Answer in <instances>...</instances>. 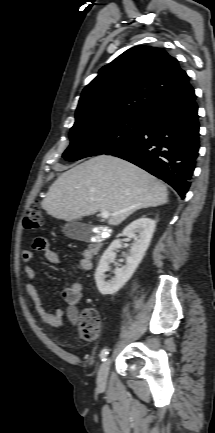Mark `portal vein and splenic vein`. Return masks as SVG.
Segmentation results:
<instances>
[{"label": "portal vein and splenic vein", "instance_id": "portal-vein-and-splenic-vein-1", "mask_svg": "<svg viewBox=\"0 0 215 433\" xmlns=\"http://www.w3.org/2000/svg\"><path fill=\"white\" fill-rule=\"evenodd\" d=\"M111 215H113V214L109 213L108 211H102L100 213V216L104 219H108Z\"/></svg>", "mask_w": 215, "mask_h": 433}]
</instances>
